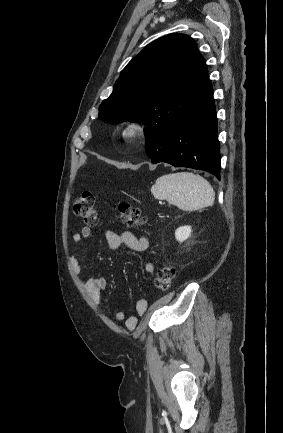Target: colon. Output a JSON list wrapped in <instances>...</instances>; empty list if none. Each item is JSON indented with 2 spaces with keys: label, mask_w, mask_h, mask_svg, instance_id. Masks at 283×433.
<instances>
[{
  "label": "colon",
  "mask_w": 283,
  "mask_h": 433,
  "mask_svg": "<svg viewBox=\"0 0 283 433\" xmlns=\"http://www.w3.org/2000/svg\"><path fill=\"white\" fill-rule=\"evenodd\" d=\"M117 218L128 227L138 228L145 223V217L141 210L128 202H118L114 205ZM73 210L77 217L87 225L95 226L99 223L95 198L90 191H82L73 204ZM175 277V268L172 265H164L155 277V286L165 290L169 288Z\"/></svg>",
  "instance_id": "5ec220e1"
}]
</instances>
